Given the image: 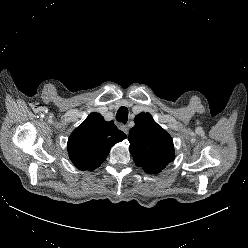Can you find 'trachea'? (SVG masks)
Masks as SVG:
<instances>
[{
	"label": "trachea",
	"mask_w": 248,
	"mask_h": 248,
	"mask_svg": "<svg viewBox=\"0 0 248 248\" xmlns=\"http://www.w3.org/2000/svg\"><path fill=\"white\" fill-rule=\"evenodd\" d=\"M116 120L118 122L126 124V122L128 120V109L126 107L119 108V110L117 111V114H116Z\"/></svg>",
	"instance_id": "trachea-1"
}]
</instances>
